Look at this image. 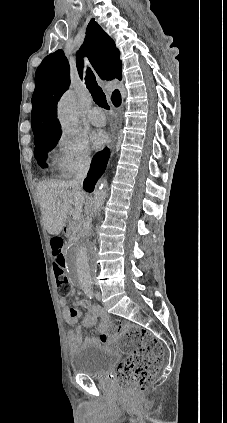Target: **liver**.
<instances>
[{"instance_id":"1","label":"liver","mask_w":227,"mask_h":423,"mask_svg":"<svg viewBox=\"0 0 227 423\" xmlns=\"http://www.w3.org/2000/svg\"><path fill=\"white\" fill-rule=\"evenodd\" d=\"M36 190L44 227L51 235H59L66 227L67 213L72 206L82 211L88 200L86 192L74 190L71 182H40Z\"/></svg>"}]
</instances>
